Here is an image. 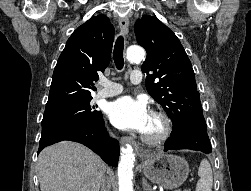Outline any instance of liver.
<instances>
[{"label":"liver","mask_w":251,"mask_h":191,"mask_svg":"<svg viewBox=\"0 0 251 191\" xmlns=\"http://www.w3.org/2000/svg\"><path fill=\"white\" fill-rule=\"evenodd\" d=\"M41 191H99L106 163L75 141H59L42 149L37 161Z\"/></svg>","instance_id":"6515ba94"}]
</instances>
